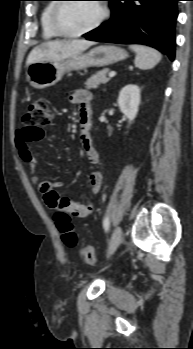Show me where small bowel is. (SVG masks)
I'll use <instances>...</instances> for the list:
<instances>
[{"instance_id":"c3829d8e","label":"small bowel","mask_w":193,"mask_h":349,"mask_svg":"<svg viewBox=\"0 0 193 349\" xmlns=\"http://www.w3.org/2000/svg\"><path fill=\"white\" fill-rule=\"evenodd\" d=\"M91 100L92 94L85 89H77L69 94V101L78 106L79 122L81 126V145L87 160L92 165L99 164V154L93 144L90 135L91 128ZM38 139L30 137L27 130L23 127L17 131L16 147L19 156L25 162L30 170L31 177L46 202V204L57 210L60 207H66L71 217L86 218L93 210L91 204H81L68 197L60 196L58 190L63 188L62 182H50L42 180L38 174L37 161L30 149V143ZM102 186V174L99 171H94L89 175V187L92 195L97 194Z\"/></svg>"}]
</instances>
